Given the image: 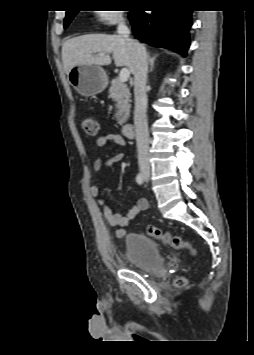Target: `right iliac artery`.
Masks as SVG:
<instances>
[{
    "instance_id": "1",
    "label": "right iliac artery",
    "mask_w": 254,
    "mask_h": 355,
    "mask_svg": "<svg viewBox=\"0 0 254 355\" xmlns=\"http://www.w3.org/2000/svg\"><path fill=\"white\" fill-rule=\"evenodd\" d=\"M136 182H137L139 185L143 184L144 178H143V176H142L141 173H139V174L136 176Z\"/></svg>"
}]
</instances>
